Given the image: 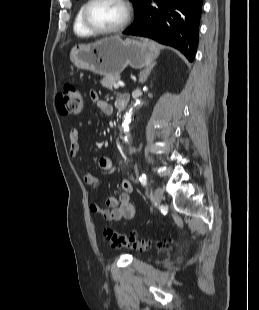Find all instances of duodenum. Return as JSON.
I'll use <instances>...</instances> for the list:
<instances>
[{
	"instance_id": "1",
	"label": "duodenum",
	"mask_w": 259,
	"mask_h": 310,
	"mask_svg": "<svg viewBox=\"0 0 259 310\" xmlns=\"http://www.w3.org/2000/svg\"><path fill=\"white\" fill-rule=\"evenodd\" d=\"M130 97L128 95L121 96L118 100L117 108L119 111H124L129 103Z\"/></svg>"
}]
</instances>
